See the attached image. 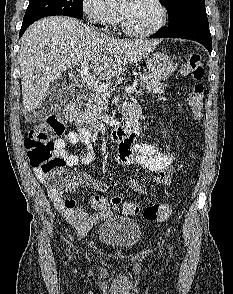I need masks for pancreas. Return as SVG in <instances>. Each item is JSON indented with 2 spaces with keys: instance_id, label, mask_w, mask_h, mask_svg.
Listing matches in <instances>:
<instances>
[{
  "instance_id": "cf45deb5",
  "label": "pancreas",
  "mask_w": 233,
  "mask_h": 294,
  "mask_svg": "<svg viewBox=\"0 0 233 294\" xmlns=\"http://www.w3.org/2000/svg\"><path fill=\"white\" fill-rule=\"evenodd\" d=\"M138 76L139 94H143L145 90L151 94H162L164 92L165 85L163 83L149 77L146 73H139ZM107 100V96L93 90L88 95L86 103L83 104L82 119L91 129H100V118L103 111L107 109Z\"/></svg>"
}]
</instances>
